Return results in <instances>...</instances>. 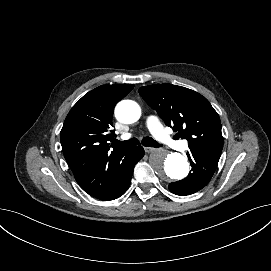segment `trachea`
<instances>
[{"label":"trachea","mask_w":271,"mask_h":271,"mask_svg":"<svg viewBox=\"0 0 271 271\" xmlns=\"http://www.w3.org/2000/svg\"><path fill=\"white\" fill-rule=\"evenodd\" d=\"M141 143L145 147H159L160 146V144L151 137H144ZM114 144L121 147L130 148V147L139 145L140 142L137 138L133 137L126 141L114 140Z\"/></svg>","instance_id":"1"}]
</instances>
